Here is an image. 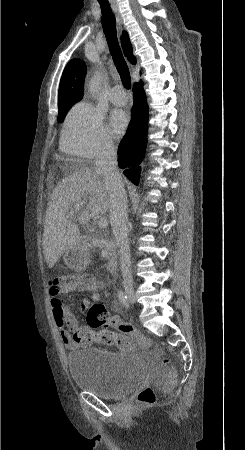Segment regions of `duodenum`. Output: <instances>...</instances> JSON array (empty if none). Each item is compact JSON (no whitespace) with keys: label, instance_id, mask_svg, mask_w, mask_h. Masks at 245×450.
<instances>
[{"label":"duodenum","instance_id":"410a0bca","mask_svg":"<svg viewBox=\"0 0 245 450\" xmlns=\"http://www.w3.org/2000/svg\"><path fill=\"white\" fill-rule=\"evenodd\" d=\"M106 238H91L87 236H80L77 240L76 247L80 252V261L85 260V253L97 246L108 247L110 250V260L108 268L111 272L119 270V257L117 252L116 241L111 237L110 231H106Z\"/></svg>","mask_w":245,"mask_h":450}]
</instances>
